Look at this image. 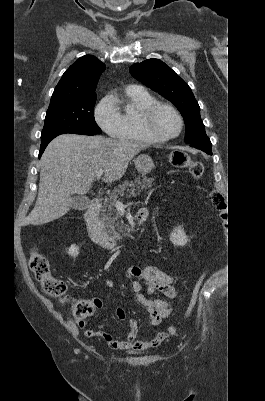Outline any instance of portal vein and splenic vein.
Returning a JSON list of instances; mask_svg holds the SVG:
<instances>
[{
	"instance_id": "obj_1",
	"label": "portal vein and splenic vein",
	"mask_w": 265,
	"mask_h": 401,
	"mask_svg": "<svg viewBox=\"0 0 265 401\" xmlns=\"http://www.w3.org/2000/svg\"><path fill=\"white\" fill-rule=\"evenodd\" d=\"M102 174H103V168H100V170H98L96 174V178H101ZM116 207H118V209H124V205H122L120 201H116Z\"/></svg>"
}]
</instances>
